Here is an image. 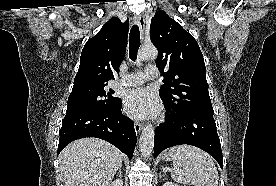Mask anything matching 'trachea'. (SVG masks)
Segmentation results:
<instances>
[{"mask_svg":"<svg viewBox=\"0 0 276 186\" xmlns=\"http://www.w3.org/2000/svg\"><path fill=\"white\" fill-rule=\"evenodd\" d=\"M140 47V31L137 25H133L129 37V57L132 61L136 60Z\"/></svg>","mask_w":276,"mask_h":186,"instance_id":"obj_1","label":"trachea"}]
</instances>
